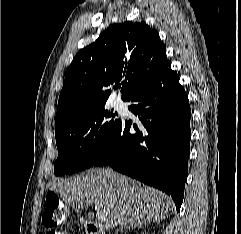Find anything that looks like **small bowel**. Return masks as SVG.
<instances>
[{"instance_id":"obj_1","label":"small bowel","mask_w":241,"mask_h":234,"mask_svg":"<svg viewBox=\"0 0 241 234\" xmlns=\"http://www.w3.org/2000/svg\"><path fill=\"white\" fill-rule=\"evenodd\" d=\"M44 234H68L66 232H61V231H56V232H51V231H47Z\"/></svg>"}]
</instances>
